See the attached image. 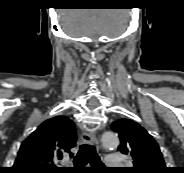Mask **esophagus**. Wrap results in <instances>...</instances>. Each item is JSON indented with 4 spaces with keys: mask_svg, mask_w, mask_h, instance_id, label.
<instances>
[{
    "mask_svg": "<svg viewBox=\"0 0 184 173\" xmlns=\"http://www.w3.org/2000/svg\"><path fill=\"white\" fill-rule=\"evenodd\" d=\"M81 140L84 144L98 146V139L94 133L84 132L81 136Z\"/></svg>",
    "mask_w": 184,
    "mask_h": 173,
    "instance_id": "1",
    "label": "esophagus"
}]
</instances>
